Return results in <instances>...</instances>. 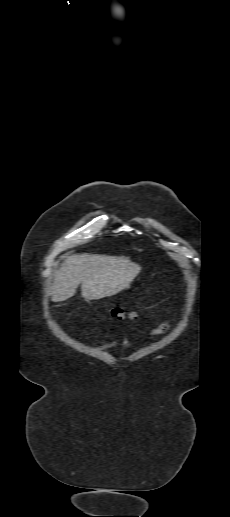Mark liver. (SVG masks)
<instances>
[{
    "instance_id": "liver-1",
    "label": "liver",
    "mask_w": 230,
    "mask_h": 517,
    "mask_svg": "<svg viewBox=\"0 0 230 517\" xmlns=\"http://www.w3.org/2000/svg\"><path fill=\"white\" fill-rule=\"evenodd\" d=\"M140 270V265L125 256L72 255L55 273L52 301L61 302L74 296L80 283L85 300L116 295L129 286Z\"/></svg>"
}]
</instances>
